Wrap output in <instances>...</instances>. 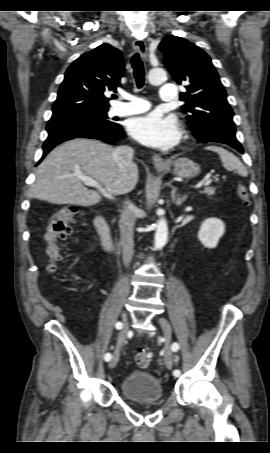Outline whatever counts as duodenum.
I'll list each match as a JSON object with an SVG mask.
<instances>
[{
	"mask_svg": "<svg viewBox=\"0 0 270 453\" xmlns=\"http://www.w3.org/2000/svg\"><path fill=\"white\" fill-rule=\"evenodd\" d=\"M94 224L104 250L111 251L113 248V237L105 218L100 213L96 215Z\"/></svg>",
	"mask_w": 270,
	"mask_h": 453,
	"instance_id": "1",
	"label": "duodenum"
}]
</instances>
